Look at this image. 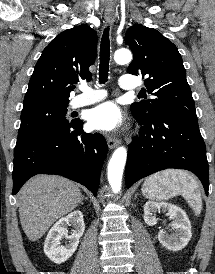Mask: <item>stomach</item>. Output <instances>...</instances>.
Here are the masks:
<instances>
[{"instance_id":"obj_1","label":"stomach","mask_w":215,"mask_h":274,"mask_svg":"<svg viewBox=\"0 0 215 274\" xmlns=\"http://www.w3.org/2000/svg\"><path fill=\"white\" fill-rule=\"evenodd\" d=\"M142 192H143L144 195H146V193H144V190H143V189H142ZM146 197H147V195H146Z\"/></svg>"}]
</instances>
